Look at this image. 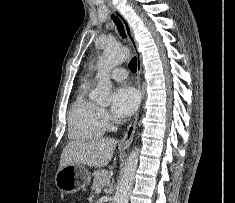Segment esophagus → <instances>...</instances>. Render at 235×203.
<instances>
[{"label":"esophagus","instance_id":"1","mask_svg":"<svg viewBox=\"0 0 235 203\" xmlns=\"http://www.w3.org/2000/svg\"><path fill=\"white\" fill-rule=\"evenodd\" d=\"M112 11L115 14V16L122 22L124 29H125V32H126V35H127L128 39L134 49V52H135V55L137 58V85H138V89L140 91L141 100H142L143 99V90H142V85H141L142 59H141V55L138 51L137 40L135 38L132 27L130 26L128 21L125 19V17L114 7L112 8ZM138 114H139V112L136 113L133 120L129 124L125 135L123 136V138L120 141V145H122V146H130L131 145V143L133 141L136 125H137Z\"/></svg>","mask_w":235,"mask_h":203}]
</instances>
